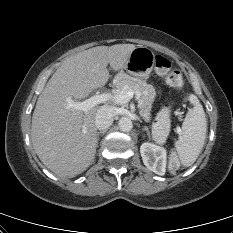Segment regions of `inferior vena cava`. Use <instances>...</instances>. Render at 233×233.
I'll list each match as a JSON object with an SVG mask.
<instances>
[{
  "instance_id": "602c4592",
  "label": "inferior vena cava",
  "mask_w": 233,
  "mask_h": 233,
  "mask_svg": "<svg viewBox=\"0 0 233 233\" xmlns=\"http://www.w3.org/2000/svg\"><path fill=\"white\" fill-rule=\"evenodd\" d=\"M115 111L111 106H101L96 114L95 125L99 130L108 129L114 121Z\"/></svg>"
}]
</instances>
